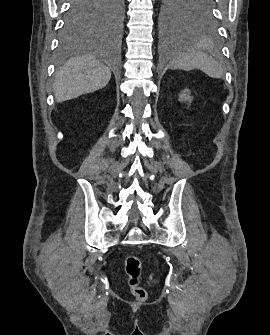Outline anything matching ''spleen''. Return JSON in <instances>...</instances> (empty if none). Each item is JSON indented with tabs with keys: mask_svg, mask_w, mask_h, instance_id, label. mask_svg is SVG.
<instances>
[{
	"mask_svg": "<svg viewBox=\"0 0 270 335\" xmlns=\"http://www.w3.org/2000/svg\"><path fill=\"white\" fill-rule=\"evenodd\" d=\"M169 68H179V70H186V72L198 68L210 78H222L224 74L222 64L216 62L209 54L202 52L198 44H190V42L176 44L174 58L169 62Z\"/></svg>",
	"mask_w": 270,
	"mask_h": 335,
	"instance_id": "obj_1",
	"label": "spleen"
}]
</instances>
